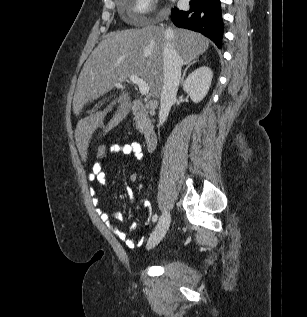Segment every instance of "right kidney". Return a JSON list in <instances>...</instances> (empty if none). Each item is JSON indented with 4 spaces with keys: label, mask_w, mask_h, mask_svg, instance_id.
<instances>
[{
    "label": "right kidney",
    "mask_w": 307,
    "mask_h": 317,
    "mask_svg": "<svg viewBox=\"0 0 307 317\" xmlns=\"http://www.w3.org/2000/svg\"><path fill=\"white\" fill-rule=\"evenodd\" d=\"M212 78V70L208 66H202L189 74L183 84V90L194 103H199L208 93Z\"/></svg>",
    "instance_id": "obj_1"
}]
</instances>
